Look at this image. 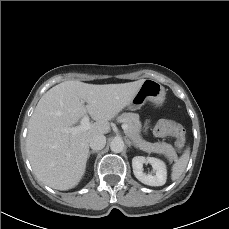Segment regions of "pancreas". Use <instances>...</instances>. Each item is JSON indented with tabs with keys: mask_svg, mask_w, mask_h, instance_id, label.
Returning a JSON list of instances; mask_svg holds the SVG:
<instances>
[{
	"mask_svg": "<svg viewBox=\"0 0 229 229\" xmlns=\"http://www.w3.org/2000/svg\"><path fill=\"white\" fill-rule=\"evenodd\" d=\"M118 122H122L128 125V130L125 132L127 136L133 141L134 145L148 153L154 152L158 154H163L172 161L177 158L176 151L171 144L166 142H156L150 143L142 139L141 132V122L139 120V115L135 113H123L117 118Z\"/></svg>",
	"mask_w": 229,
	"mask_h": 229,
	"instance_id": "obj_1",
	"label": "pancreas"
}]
</instances>
